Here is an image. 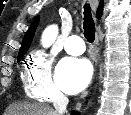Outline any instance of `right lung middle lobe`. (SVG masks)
<instances>
[{
	"label": "right lung middle lobe",
	"instance_id": "obj_1",
	"mask_svg": "<svg viewBox=\"0 0 131 115\" xmlns=\"http://www.w3.org/2000/svg\"><path fill=\"white\" fill-rule=\"evenodd\" d=\"M23 55H24V54L18 56V59H17L18 62L22 59Z\"/></svg>",
	"mask_w": 131,
	"mask_h": 115
}]
</instances>
